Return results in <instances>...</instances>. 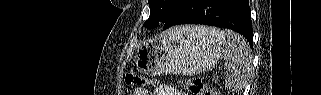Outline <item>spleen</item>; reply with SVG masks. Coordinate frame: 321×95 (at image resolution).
Listing matches in <instances>:
<instances>
[{"mask_svg": "<svg viewBox=\"0 0 321 95\" xmlns=\"http://www.w3.org/2000/svg\"><path fill=\"white\" fill-rule=\"evenodd\" d=\"M199 31L220 34L224 37L222 58L226 62V85L232 91H239L247 84L251 67V52L246 40L232 31L219 32L216 28L199 27Z\"/></svg>", "mask_w": 321, "mask_h": 95, "instance_id": "1", "label": "spleen"}]
</instances>
